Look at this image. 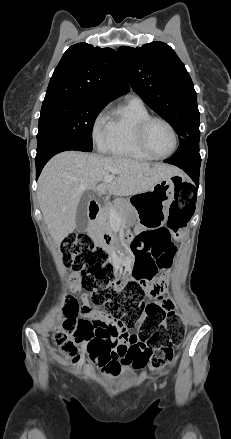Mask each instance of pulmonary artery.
<instances>
[{
  "label": "pulmonary artery",
  "instance_id": "e3ab8cb5",
  "mask_svg": "<svg viewBox=\"0 0 231 439\" xmlns=\"http://www.w3.org/2000/svg\"><path fill=\"white\" fill-rule=\"evenodd\" d=\"M133 98H134V99H139L137 96H134Z\"/></svg>",
  "mask_w": 231,
  "mask_h": 439
}]
</instances>
